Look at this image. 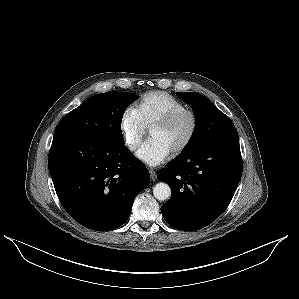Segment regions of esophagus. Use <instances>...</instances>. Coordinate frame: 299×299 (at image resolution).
I'll use <instances>...</instances> for the list:
<instances>
[{
    "instance_id": "obj_1",
    "label": "esophagus",
    "mask_w": 299,
    "mask_h": 299,
    "mask_svg": "<svg viewBox=\"0 0 299 299\" xmlns=\"http://www.w3.org/2000/svg\"><path fill=\"white\" fill-rule=\"evenodd\" d=\"M150 177L154 181L157 178L156 172L153 169H149Z\"/></svg>"
}]
</instances>
